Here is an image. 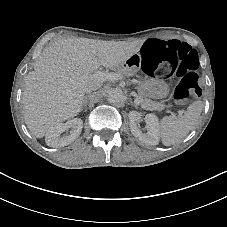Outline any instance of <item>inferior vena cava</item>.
<instances>
[{
    "label": "inferior vena cava",
    "mask_w": 227,
    "mask_h": 227,
    "mask_svg": "<svg viewBox=\"0 0 227 227\" xmlns=\"http://www.w3.org/2000/svg\"><path fill=\"white\" fill-rule=\"evenodd\" d=\"M99 88H100V84H94V83H92V84H90V85L87 86L86 93H91L92 91H95V90H97Z\"/></svg>",
    "instance_id": "602c4592"
}]
</instances>
